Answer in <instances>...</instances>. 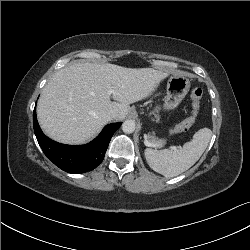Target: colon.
I'll return each instance as SVG.
<instances>
[{
    "mask_svg": "<svg viewBox=\"0 0 250 250\" xmlns=\"http://www.w3.org/2000/svg\"><path fill=\"white\" fill-rule=\"evenodd\" d=\"M202 96H203V90L201 88H195L192 90L191 92V100H192L191 115L185 120H183L182 122H180L179 124H177L176 126H174L170 130L171 135L186 132L192 127V125L196 121V118L200 110V101L202 99Z\"/></svg>",
    "mask_w": 250,
    "mask_h": 250,
    "instance_id": "colon-1",
    "label": "colon"
}]
</instances>
